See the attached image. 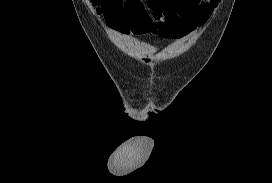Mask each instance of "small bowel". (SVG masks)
<instances>
[{"label": "small bowel", "instance_id": "c3829d8e", "mask_svg": "<svg viewBox=\"0 0 272 183\" xmlns=\"http://www.w3.org/2000/svg\"><path fill=\"white\" fill-rule=\"evenodd\" d=\"M218 0H102L100 12L110 26L124 35L153 32L180 38L207 19Z\"/></svg>", "mask_w": 272, "mask_h": 183}]
</instances>
